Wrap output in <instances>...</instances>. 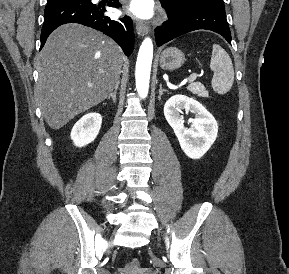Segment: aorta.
I'll use <instances>...</instances> for the list:
<instances>
[{"mask_svg":"<svg viewBox=\"0 0 289 274\" xmlns=\"http://www.w3.org/2000/svg\"><path fill=\"white\" fill-rule=\"evenodd\" d=\"M153 59V43L146 38L139 49L136 63V89L141 98H146L149 91L150 72Z\"/></svg>","mask_w":289,"mask_h":274,"instance_id":"762f6f07","label":"aorta"}]
</instances>
